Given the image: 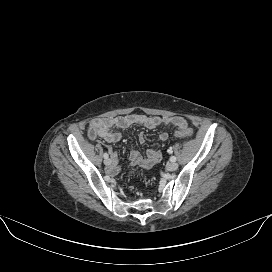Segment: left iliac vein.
<instances>
[{
    "label": "left iliac vein",
    "instance_id": "left-iliac-vein-1",
    "mask_svg": "<svg viewBox=\"0 0 272 272\" xmlns=\"http://www.w3.org/2000/svg\"><path fill=\"white\" fill-rule=\"evenodd\" d=\"M178 168V164L176 162H169L167 165H166V169L170 172L172 171H175L177 170Z\"/></svg>",
    "mask_w": 272,
    "mask_h": 272
}]
</instances>
